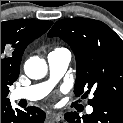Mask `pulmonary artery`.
<instances>
[{"mask_svg": "<svg viewBox=\"0 0 123 123\" xmlns=\"http://www.w3.org/2000/svg\"><path fill=\"white\" fill-rule=\"evenodd\" d=\"M71 60V53L65 48L55 49L48 54V66L50 79L35 85L19 88L13 91L12 96L16 100L25 99L36 101L45 97L54 84L64 75ZM88 113L93 112L92 107L87 108Z\"/></svg>", "mask_w": 123, "mask_h": 123, "instance_id": "obj_1", "label": "pulmonary artery"}]
</instances>
